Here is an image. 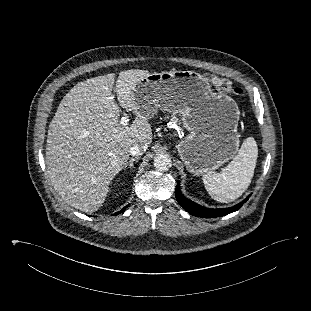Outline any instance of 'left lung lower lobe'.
<instances>
[{
  "instance_id": "obj_1",
  "label": "left lung lower lobe",
  "mask_w": 311,
  "mask_h": 311,
  "mask_svg": "<svg viewBox=\"0 0 311 311\" xmlns=\"http://www.w3.org/2000/svg\"><path fill=\"white\" fill-rule=\"evenodd\" d=\"M176 199L179 204L191 215L197 217H204V218H215L219 216H224L229 213L235 212L239 210V208L249 199V196L243 200L241 203L225 209H209L203 206L196 204L195 202L185 198L180 191V185L177 183L176 186Z\"/></svg>"
}]
</instances>
